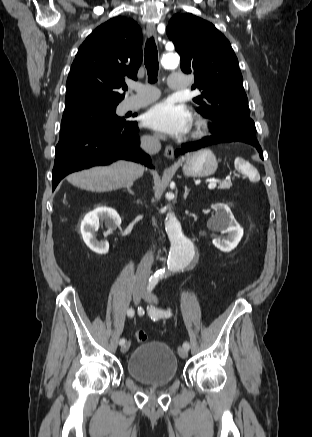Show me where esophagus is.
<instances>
[{
  "mask_svg": "<svg viewBox=\"0 0 312 437\" xmlns=\"http://www.w3.org/2000/svg\"><path fill=\"white\" fill-rule=\"evenodd\" d=\"M147 36L149 38L156 37V27L153 23L147 24L146 27ZM164 156L168 159H172L174 156V149L171 145H166L164 150Z\"/></svg>",
  "mask_w": 312,
  "mask_h": 437,
  "instance_id": "obj_1",
  "label": "esophagus"
}]
</instances>
